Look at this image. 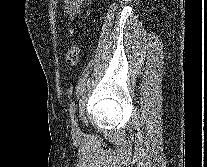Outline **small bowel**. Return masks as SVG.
I'll use <instances>...</instances> for the list:
<instances>
[{"label": "small bowel", "instance_id": "1", "mask_svg": "<svg viewBox=\"0 0 207 167\" xmlns=\"http://www.w3.org/2000/svg\"><path fill=\"white\" fill-rule=\"evenodd\" d=\"M95 0H63L64 12L71 18L82 14L83 8Z\"/></svg>", "mask_w": 207, "mask_h": 167}]
</instances>
